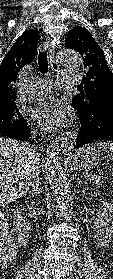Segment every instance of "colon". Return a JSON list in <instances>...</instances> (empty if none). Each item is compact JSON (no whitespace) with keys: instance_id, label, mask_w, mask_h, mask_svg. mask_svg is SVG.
<instances>
[{"instance_id":"5ec220e1","label":"colon","mask_w":113,"mask_h":279,"mask_svg":"<svg viewBox=\"0 0 113 279\" xmlns=\"http://www.w3.org/2000/svg\"><path fill=\"white\" fill-rule=\"evenodd\" d=\"M14 251V241L8 220L0 214V262L10 259Z\"/></svg>"}]
</instances>
